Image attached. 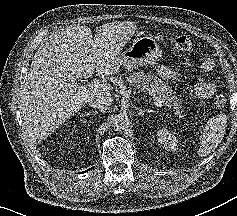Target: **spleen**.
Masks as SVG:
<instances>
[{
	"label": "spleen",
	"instance_id": "spleen-1",
	"mask_svg": "<svg viewBox=\"0 0 237 216\" xmlns=\"http://www.w3.org/2000/svg\"><path fill=\"white\" fill-rule=\"evenodd\" d=\"M206 133H207V130L204 131V136L200 142L202 149L209 147V145L213 142V138H212L213 136H207Z\"/></svg>",
	"mask_w": 237,
	"mask_h": 216
}]
</instances>
